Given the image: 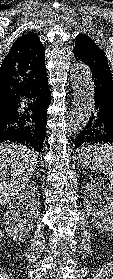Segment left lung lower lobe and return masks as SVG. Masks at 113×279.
<instances>
[{
    "label": "left lung lower lobe",
    "mask_w": 113,
    "mask_h": 279,
    "mask_svg": "<svg viewBox=\"0 0 113 279\" xmlns=\"http://www.w3.org/2000/svg\"><path fill=\"white\" fill-rule=\"evenodd\" d=\"M95 103L91 117L75 139V147L93 143L113 144V79L91 69Z\"/></svg>",
    "instance_id": "left-lung-lower-lobe-1"
}]
</instances>
